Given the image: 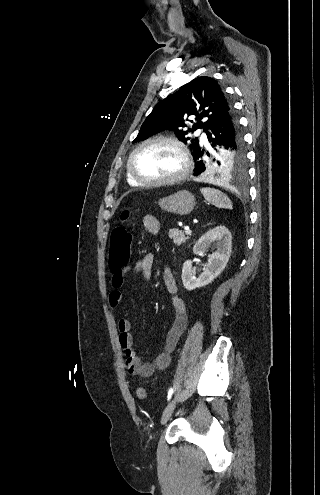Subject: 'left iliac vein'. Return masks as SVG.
Returning <instances> with one entry per match:
<instances>
[{"mask_svg":"<svg viewBox=\"0 0 320 495\" xmlns=\"http://www.w3.org/2000/svg\"><path fill=\"white\" fill-rule=\"evenodd\" d=\"M176 402H177V397H174L169 403L168 405L166 406V408L164 409L163 411V414H162V417H161V423L162 424H166L167 421L170 419L174 409H175V406H176Z\"/></svg>","mask_w":320,"mask_h":495,"instance_id":"left-iliac-vein-1","label":"left iliac vein"}]
</instances>
